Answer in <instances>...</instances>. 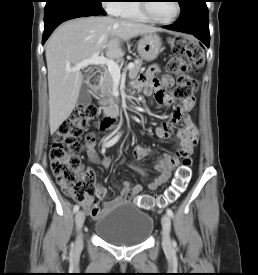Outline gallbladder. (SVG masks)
<instances>
[{"instance_id": "obj_1", "label": "gallbladder", "mask_w": 258, "mask_h": 275, "mask_svg": "<svg viewBox=\"0 0 258 275\" xmlns=\"http://www.w3.org/2000/svg\"><path fill=\"white\" fill-rule=\"evenodd\" d=\"M87 78V76H85V79ZM91 95H90V91H89V87L86 84L85 80L83 81L81 88H80V92H79V96H78V100H77V105L78 106H82V107H87L88 105H90L91 103Z\"/></svg>"}]
</instances>
